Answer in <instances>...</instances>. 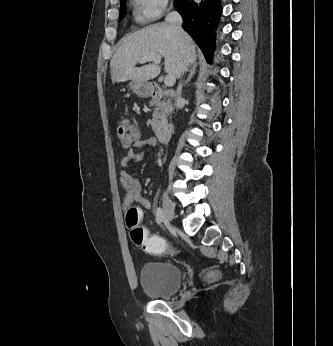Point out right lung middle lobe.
Wrapping results in <instances>:
<instances>
[{
  "label": "right lung middle lobe",
  "mask_w": 333,
  "mask_h": 346,
  "mask_svg": "<svg viewBox=\"0 0 333 346\" xmlns=\"http://www.w3.org/2000/svg\"><path fill=\"white\" fill-rule=\"evenodd\" d=\"M126 0H120V18L122 19L126 14V7H125Z\"/></svg>",
  "instance_id": "1"
}]
</instances>
